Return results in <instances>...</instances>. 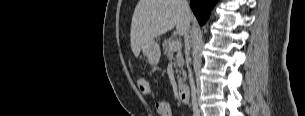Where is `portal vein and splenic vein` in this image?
<instances>
[{
	"label": "portal vein and splenic vein",
	"mask_w": 305,
	"mask_h": 116,
	"mask_svg": "<svg viewBox=\"0 0 305 116\" xmlns=\"http://www.w3.org/2000/svg\"><path fill=\"white\" fill-rule=\"evenodd\" d=\"M181 42L180 41H174L173 43H172V45H171V51H173V52H176V51H178V50H180V48H181Z\"/></svg>",
	"instance_id": "portal-vein-and-splenic-vein-1"
}]
</instances>
